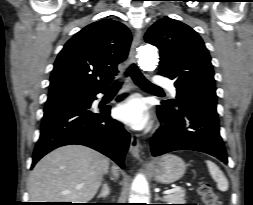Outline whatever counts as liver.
<instances>
[{"label":"liver","mask_w":253,"mask_h":205,"mask_svg":"<svg viewBox=\"0 0 253 205\" xmlns=\"http://www.w3.org/2000/svg\"><path fill=\"white\" fill-rule=\"evenodd\" d=\"M109 160L81 145L57 148L44 156L31 171L28 191L32 202L87 203L97 193ZM115 177L117 166H112Z\"/></svg>","instance_id":"obj_1"}]
</instances>
